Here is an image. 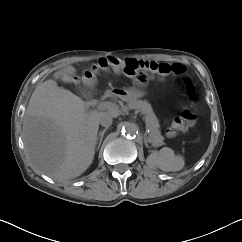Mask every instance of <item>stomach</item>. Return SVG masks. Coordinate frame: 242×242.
I'll list each match as a JSON object with an SVG mask.
<instances>
[{
    "mask_svg": "<svg viewBox=\"0 0 242 242\" xmlns=\"http://www.w3.org/2000/svg\"><path fill=\"white\" fill-rule=\"evenodd\" d=\"M146 95V92L137 88H125L117 92L116 96L125 101H132L142 98Z\"/></svg>",
    "mask_w": 242,
    "mask_h": 242,
    "instance_id": "stomach-1",
    "label": "stomach"
}]
</instances>
